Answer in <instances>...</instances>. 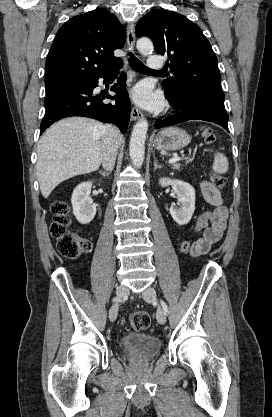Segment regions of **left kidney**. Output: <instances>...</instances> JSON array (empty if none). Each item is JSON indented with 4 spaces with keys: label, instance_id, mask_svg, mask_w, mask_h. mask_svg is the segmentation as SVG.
<instances>
[{
    "label": "left kidney",
    "instance_id": "5707ae66",
    "mask_svg": "<svg viewBox=\"0 0 272 417\" xmlns=\"http://www.w3.org/2000/svg\"><path fill=\"white\" fill-rule=\"evenodd\" d=\"M159 184L162 187L172 186V189L177 194L180 207L172 205L170 207V214L173 220L179 225L187 224L195 210V190L189 184L181 180L161 178Z\"/></svg>",
    "mask_w": 272,
    "mask_h": 417
}]
</instances>
